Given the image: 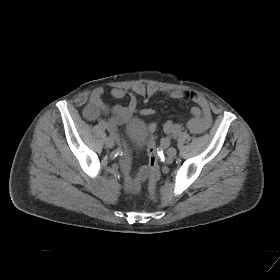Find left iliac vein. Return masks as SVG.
<instances>
[{
    "mask_svg": "<svg viewBox=\"0 0 280 280\" xmlns=\"http://www.w3.org/2000/svg\"><path fill=\"white\" fill-rule=\"evenodd\" d=\"M166 153H167V156H168L169 158H173V157L176 156L177 151H176L175 148L170 147V148L166 151Z\"/></svg>",
    "mask_w": 280,
    "mask_h": 280,
    "instance_id": "obj_1",
    "label": "left iliac vein"
}]
</instances>
